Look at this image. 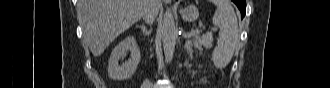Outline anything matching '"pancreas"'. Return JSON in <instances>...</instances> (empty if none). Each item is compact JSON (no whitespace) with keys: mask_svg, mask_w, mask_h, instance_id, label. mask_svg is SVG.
<instances>
[{"mask_svg":"<svg viewBox=\"0 0 330 88\" xmlns=\"http://www.w3.org/2000/svg\"><path fill=\"white\" fill-rule=\"evenodd\" d=\"M193 36V45L196 49L202 50V47L207 49L212 46V36L210 34H204L202 36L199 33H195Z\"/></svg>","mask_w":330,"mask_h":88,"instance_id":"cf45deb5","label":"pancreas"}]
</instances>
